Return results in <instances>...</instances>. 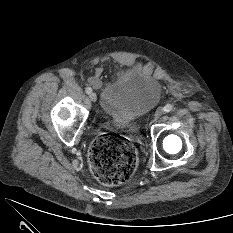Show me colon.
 I'll use <instances>...</instances> for the list:
<instances>
[{"label":"colon","instance_id":"obj_1","mask_svg":"<svg viewBox=\"0 0 233 233\" xmlns=\"http://www.w3.org/2000/svg\"><path fill=\"white\" fill-rule=\"evenodd\" d=\"M88 155L93 174L107 186L125 183L137 168V155L130 140L119 134L105 133L96 137Z\"/></svg>","mask_w":233,"mask_h":233}]
</instances>
